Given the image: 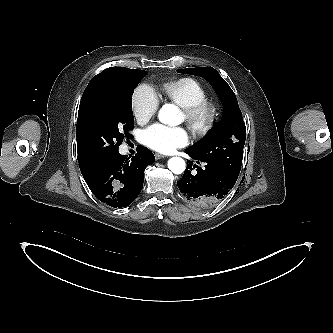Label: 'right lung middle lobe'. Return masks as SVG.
<instances>
[{
	"label": "right lung middle lobe",
	"instance_id": "dd1d6c3e",
	"mask_svg": "<svg viewBox=\"0 0 333 333\" xmlns=\"http://www.w3.org/2000/svg\"><path fill=\"white\" fill-rule=\"evenodd\" d=\"M146 75L144 70L127 68L93 86L76 126L78 154L85 164L99 166L118 153L134 125L132 94Z\"/></svg>",
	"mask_w": 333,
	"mask_h": 333
}]
</instances>
